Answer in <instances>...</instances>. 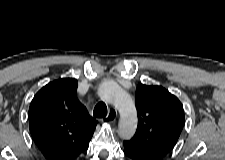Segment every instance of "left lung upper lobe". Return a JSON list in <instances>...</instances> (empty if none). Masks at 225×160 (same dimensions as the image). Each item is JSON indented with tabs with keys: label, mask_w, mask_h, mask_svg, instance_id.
<instances>
[{
	"label": "left lung upper lobe",
	"mask_w": 225,
	"mask_h": 160,
	"mask_svg": "<svg viewBox=\"0 0 225 160\" xmlns=\"http://www.w3.org/2000/svg\"><path fill=\"white\" fill-rule=\"evenodd\" d=\"M138 126L131 140L123 144L146 160L167 157L176 145L184 126L181 102L161 86L136 88Z\"/></svg>",
	"instance_id": "left-lung-upper-lobe-1"
}]
</instances>
